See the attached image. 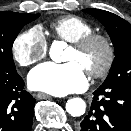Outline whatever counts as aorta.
Returning a JSON list of instances; mask_svg holds the SVG:
<instances>
[{"mask_svg":"<svg viewBox=\"0 0 131 131\" xmlns=\"http://www.w3.org/2000/svg\"><path fill=\"white\" fill-rule=\"evenodd\" d=\"M62 49L59 43L55 42L50 48V57L53 60H57L61 55ZM67 112L73 117L82 116L86 110V103L81 98H71L66 103Z\"/></svg>","mask_w":131,"mask_h":131,"instance_id":"762f6f07","label":"aorta"}]
</instances>
